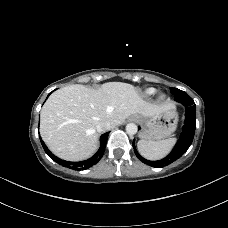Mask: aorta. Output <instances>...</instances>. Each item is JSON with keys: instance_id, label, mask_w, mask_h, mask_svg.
Segmentation results:
<instances>
[{"instance_id": "obj_1", "label": "aorta", "mask_w": 228, "mask_h": 228, "mask_svg": "<svg viewBox=\"0 0 228 228\" xmlns=\"http://www.w3.org/2000/svg\"><path fill=\"white\" fill-rule=\"evenodd\" d=\"M137 130H138L137 125L134 124V123H129V124H127V126H126V132H127L129 135H134V134H136V133H137Z\"/></svg>"}]
</instances>
